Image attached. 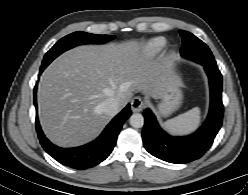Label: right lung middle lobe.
I'll return each mask as SVG.
<instances>
[{"mask_svg":"<svg viewBox=\"0 0 248 195\" xmlns=\"http://www.w3.org/2000/svg\"><path fill=\"white\" fill-rule=\"evenodd\" d=\"M114 36L110 35H95L82 31L71 33L60 39L45 55L42 66H48L57 56L75 46L83 43H105L112 39ZM41 66V67H42Z\"/></svg>","mask_w":248,"mask_h":195,"instance_id":"right-lung-middle-lobe-1","label":"right lung middle lobe"}]
</instances>
